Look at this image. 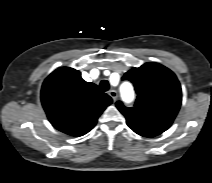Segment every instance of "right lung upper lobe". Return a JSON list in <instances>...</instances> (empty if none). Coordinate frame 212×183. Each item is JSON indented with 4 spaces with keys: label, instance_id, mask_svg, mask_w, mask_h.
I'll return each mask as SVG.
<instances>
[{
    "label": "right lung upper lobe",
    "instance_id": "cb5924a9",
    "mask_svg": "<svg viewBox=\"0 0 212 183\" xmlns=\"http://www.w3.org/2000/svg\"><path fill=\"white\" fill-rule=\"evenodd\" d=\"M41 101L52 125L71 136L89 132L112 103L110 96L69 67L58 68L46 78Z\"/></svg>",
    "mask_w": 212,
    "mask_h": 183
}]
</instances>
